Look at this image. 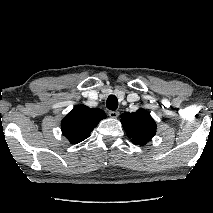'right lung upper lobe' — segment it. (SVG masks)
<instances>
[{
  "mask_svg": "<svg viewBox=\"0 0 213 213\" xmlns=\"http://www.w3.org/2000/svg\"><path fill=\"white\" fill-rule=\"evenodd\" d=\"M105 118L106 114L101 109L78 105L63 118L61 130L72 144H77L88 138L98 123Z\"/></svg>",
  "mask_w": 213,
  "mask_h": 213,
  "instance_id": "obj_1",
  "label": "right lung upper lobe"
}]
</instances>
